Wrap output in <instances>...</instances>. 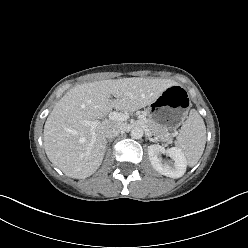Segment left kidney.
<instances>
[{"mask_svg": "<svg viewBox=\"0 0 248 248\" xmlns=\"http://www.w3.org/2000/svg\"><path fill=\"white\" fill-rule=\"evenodd\" d=\"M162 154H166L172 160H164ZM148 155L154 169L167 177L180 178L186 171V158L176 147L165 149L159 144H153L148 146Z\"/></svg>", "mask_w": 248, "mask_h": 248, "instance_id": "5707ae66", "label": "left kidney"}]
</instances>
